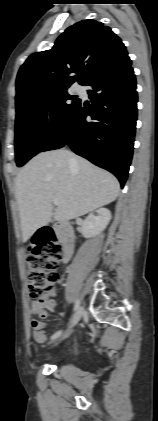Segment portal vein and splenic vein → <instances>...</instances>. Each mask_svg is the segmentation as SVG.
<instances>
[{"label": "portal vein and splenic vein", "instance_id": "obj_1", "mask_svg": "<svg viewBox=\"0 0 158 421\" xmlns=\"http://www.w3.org/2000/svg\"><path fill=\"white\" fill-rule=\"evenodd\" d=\"M54 205L58 206L59 205V201L57 199L53 200Z\"/></svg>", "mask_w": 158, "mask_h": 421}]
</instances>
